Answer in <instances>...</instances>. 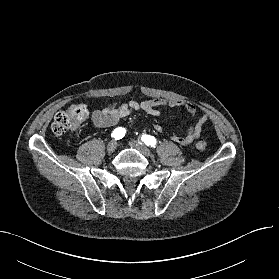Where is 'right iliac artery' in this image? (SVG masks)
I'll list each match as a JSON object with an SVG mask.
<instances>
[{
    "label": "right iliac artery",
    "mask_w": 279,
    "mask_h": 279,
    "mask_svg": "<svg viewBox=\"0 0 279 279\" xmlns=\"http://www.w3.org/2000/svg\"><path fill=\"white\" fill-rule=\"evenodd\" d=\"M125 133H126V130H125L124 128L118 127V128H116V129L113 131L112 137H113L115 140H119V139H121V138L124 137Z\"/></svg>",
    "instance_id": "right-iliac-artery-1"
}]
</instances>
